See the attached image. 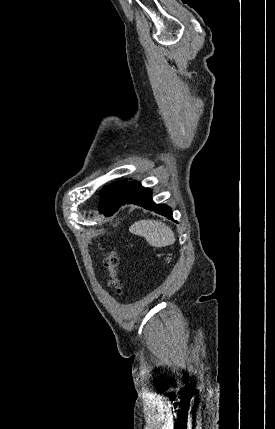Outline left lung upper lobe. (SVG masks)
<instances>
[{"label": "left lung upper lobe", "instance_id": "obj_1", "mask_svg": "<svg viewBox=\"0 0 275 429\" xmlns=\"http://www.w3.org/2000/svg\"><path fill=\"white\" fill-rule=\"evenodd\" d=\"M135 182H113L111 185L104 187L101 191L99 211L106 216L115 213L124 201L127 192Z\"/></svg>", "mask_w": 275, "mask_h": 429}]
</instances>
